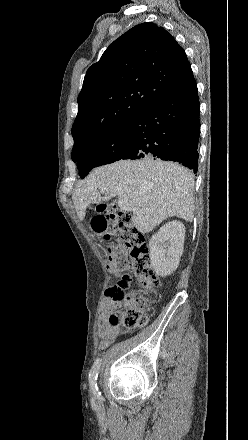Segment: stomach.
<instances>
[{"mask_svg": "<svg viewBox=\"0 0 248 440\" xmlns=\"http://www.w3.org/2000/svg\"><path fill=\"white\" fill-rule=\"evenodd\" d=\"M93 211L97 210L96 206L92 207ZM89 226L91 232H98L100 237H105L106 239L110 238L109 235V224L107 218H90Z\"/></svg>", "mask_w": 248, "mask_h": 440, "instance_id": "obj_1", "label": "stomach"}]
</instances>
